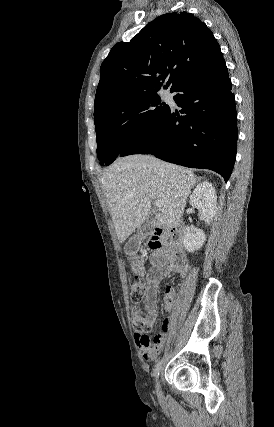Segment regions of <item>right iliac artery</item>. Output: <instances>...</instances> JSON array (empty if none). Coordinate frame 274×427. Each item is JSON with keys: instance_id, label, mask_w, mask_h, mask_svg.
Returning <instances> with one entry per match:
<instances>
[{"instance_id": "right-iliac-artery-1", "label": "right iliac artery", "mask_w": 274, "mask_h": 427, "mask_svg": "<svg viewBox=\"0 0 274 427\" xmlns=\"http://www.w3.org/2000/svg\"><path fill=\"white\" fill-rule=\"evenodd\" d=\"M160 367H161V361H159V362L156 364L155 369H154V376H155L156 380H157V379H158V377H159Z\"/></svg>"}]
</instances>
